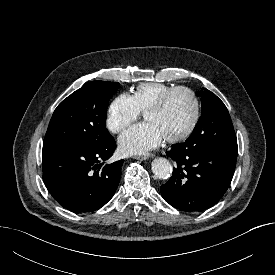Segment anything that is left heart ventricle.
<instances>
[{
    "label": "left heart ventricle",
    "instance_id": "b2bd125f",
    "mask_svg": "<svg viewBox=\"0 0 275 275\" xmlns=\"http://www.w3.org/2000/svg\"><path fill=\"white\" fill-rule=\"evenodd\" d=\"M192 116L191 96L187 92L179 91L169 98L161 110L147 112L144 118L153 123L165 138L183 132L190 124Z\"/></svg>",
    "mask_w": 275,
    "mask_h": 275
}]
</instances>
